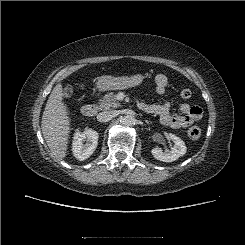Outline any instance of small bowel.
Listing matches in <instances>:
<instances>
[{
	"instance_id": "1",
	"label": "small bowel",
	"mask_w": 245,
	"mask_h": 245,
	"mask_svg": "<svg viewBox=\"0 0 245 245\" xmlns=\"http://www.w3.org/2000/svg\"><path fill=\"white\" fill-rule=\"evenodd\" d=\"M154 82L155 92L159 95L165 94L169 85L167 76L162 73L156 74ZM141 106L147 112L157 114L162 125L174 129L189 127L200 121L203 116L200 107L187 103H182L179 106L180 114H172L170 103L167 101L160 104L142 102Z\"/></svg>"
}]
</instances>
